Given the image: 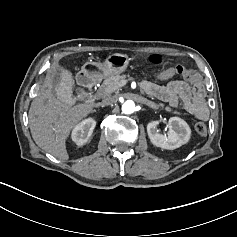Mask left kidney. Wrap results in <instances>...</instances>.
Segmentation results:
<instances>
[{
    "instance_id": "1",
    "label": "left kidney",
    "mask_w": 237,
    "mask_h": 237,
    "mask_svg": "<svg viewBox=\"0 0 237 237\" xmlns=\"http://www.w3.org/2000/svg\"><path fill=\"white\" fill-rule=\"evenodd\" d=\"M160 121L154 120L147 124V133L151 143L167 150H174L187 143L191 130L188 124L179 117H171L168 121L170 132L168 137L160 135L158 125Z\"/></svg>"
}]
</instances>
